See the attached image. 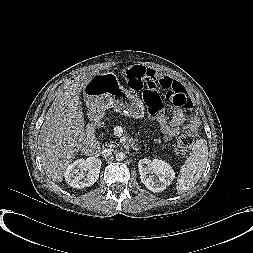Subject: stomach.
<instances>
[{"label": "stomach", "instance_id": "0dacf381", "mask_svg": "<svg viewBox=\"0 0 253 253\" xmlns=\"http://www.w3.org/2000/svg\"><path fill=\"white\" fill-rule=\"evenodd\" d=\"M117 82L114 74L95 75L83 89L86 103L95 110L113 108L130 117H143L144 106L141 100L135 95L124 93Z\"/></svg>", "mask_w": 253, "mask_h": 253}]
</instances>
